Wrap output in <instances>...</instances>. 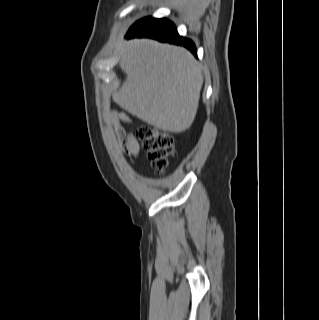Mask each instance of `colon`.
<instances>
[{"mask_svg": "<svg viewBox=\"0 0 319 320\" xmlns=\"http://www.w3.org/2000/svg\"><path fill=\"white\" fill-rule=\"evenodd\" d=\"M137 137L156 171L163 173L168 165L169 156L174 152L173 136L154 127L142 125L137 129Z\"/></svg>", "mask_w": 319, "mask_h": 320, "instance_id": "1", "label": "colon"}]
</instances>
